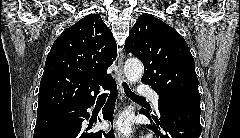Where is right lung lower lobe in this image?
Returning a JSON list of instances; mask_svg holds the SVG:
<instances>
[{
    "instance_id": "98d812e1",
    "label": "right lung lower lobe",
    "mask_w": 240,
    "mask_h": 138,
    "mask_svg": "<svg viewBox=\"0 0 240 138\" xmlns=\"http://www.w3.org/2000/svg\"><path fill=\"white\" fill-rule=\"evenodd\" d=\"M108 88L111 92L102 114L105 120L112 121L117 97L116 83L112 81L106 87ZM95 99L37 115L33 138H114L112 130L108 133L104 131L93 133L87 132L92 126H88L87 129L82 126L84 119L89 118L87 108L95 103Z\"/></svg>"
}]
</instances>
